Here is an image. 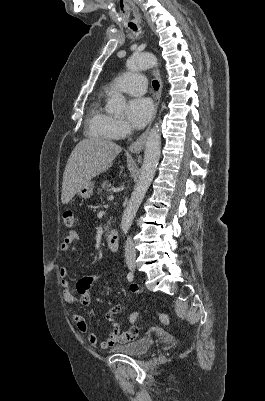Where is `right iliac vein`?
I'll list each match as a JSON object with an SVG mask.
<instances>
[{
	"label": "right iliac vein",
	"mask_w": 265,
	"mask_h": 401,
	"mask_svg": "<svg viewBox=\"0 0 265 401\" xmlns=\"http://www.w3.org/2000/svg\"><path fill=\"white\" fill-rule=\"evenodd\" d=\"M128 268H129L131 271H135V269H136V264H135V263H129V264H128Z\"/></svg>",
	"instance_id": "1"
}]
</instances>
